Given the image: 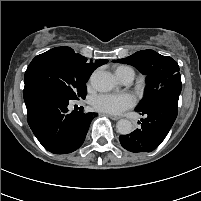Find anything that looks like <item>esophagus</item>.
Here are the masks:
<instances>
[{"instance_id":"34e87169","label":"esophagus","mask_w":201,"mask_h":201,"mask_svg":"<svg viewBox=\"0 0 201 201\" xmlns=\"http://www.w3.org/2000/svg\"><path fill=\"white\" fill-rule=\"evenodd\" d=\"M109 118H111L112 120H115V121H117V120H119L120 119V117H118V116H113V115H107Z\"/></svg>"}]
</instances>
